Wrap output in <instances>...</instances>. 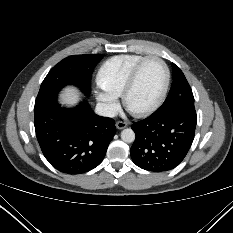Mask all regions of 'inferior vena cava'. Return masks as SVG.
Instances as JSON below:
<instances>
[{
	"label": "inferior vena cava",
	"instance_id": "obj_1",
	"mask_svg": "<svg viewBox=\"0 0 233 233\" xmlns=\"http://www.w3.org/2000/svg\"><path fill=\"white\" fill-rule=\"evenodd\" d=\"M96 114L104 117H115L116 116V110L106 103H97L95 108Z\"/></svg>",
	"mask_w": 233,
	"mask_h": 233
}]
</instances>
